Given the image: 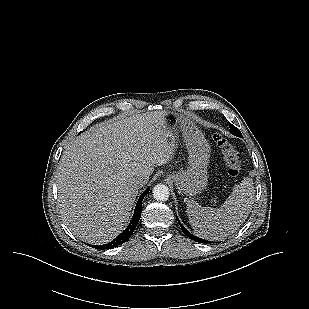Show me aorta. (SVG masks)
I'll return each mask as SVG.
<instances>
[{"mask_svg":"<svg viewBox=\"0 0 309 309\" xmlns=\"http://www.w3.org/2000/svg\"><path fill=\"white\" fill-rule=\"evenodd\" d=\"M153 197L158 201H166L169 198L170 192L166 185L158 184L153 188Z\"/></svg>","mask_w":309,"mask_h":309,"instance_id":"1","label":"aorta"}]
</instances>
